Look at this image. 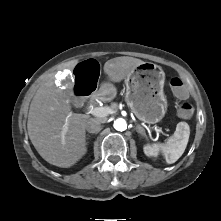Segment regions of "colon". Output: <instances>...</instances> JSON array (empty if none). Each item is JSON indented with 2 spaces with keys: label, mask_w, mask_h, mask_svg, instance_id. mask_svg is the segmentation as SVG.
I'll use <instances>...</instances> for the list:
<instances>
[{
  "label": "colon",
  "mask_w": 221,
  "mask_h": 221,
  "mask_svg": "<svg viewBox=\"0 0 221 221\" xmlns=\"http://www.w3.org/2000/svg\"><path fill=\"white\" fill-rule=\"evenodd\" d=\"M99 65L94 60H87L82 65L77 66L73 71V78L76 81L73 85V92L70 101L73 106L82 108L92 100L94 89L99 82ZM170 87L174 95L180 99H185L188 95L187 88L183 80L174 77L170 80ZM194 108L189 102H183L178 113L183 118H190Z\"/></svg>",
  "instance_id": "1"
}]
</instances>
